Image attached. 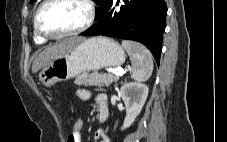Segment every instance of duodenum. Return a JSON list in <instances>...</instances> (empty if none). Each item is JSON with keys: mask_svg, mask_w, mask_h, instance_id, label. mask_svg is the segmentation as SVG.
Segmentation results:
<instances>
[{"mask_svg": "<svg viewBox=\"0 0 227 142\" xmlns=\"http://www.w3.org/2000/svg\"><path fill=\"white\" fill-rule=\"evenodd\" d=\"M97 118H98L99 122H101V123H103V122H105L107 120V118H108V106H107V102L102 103L98 107Z\"/></svg>", "mask_w": 227, "mask_h": 142, "instance_id": "1", "label": "duodenum"}]
</instances>
